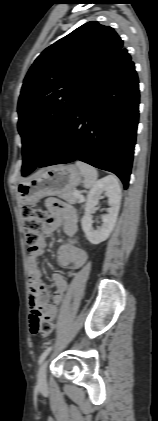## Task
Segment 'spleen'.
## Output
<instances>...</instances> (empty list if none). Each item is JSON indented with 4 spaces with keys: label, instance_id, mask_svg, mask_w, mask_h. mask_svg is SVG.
I'll use <instances>...</instances> for the list:
<instances>
[{
    "label": "spleen",
    "instance_id": "obj_1",
    "mask_svg": "<svg viewBox=\"0 0 158 421\" xmlns=\"http://www.w3.org/2000/svg\"><path fill=\"white\" fill-rule=\"evenodd\" d=\"M76 166L84 176V187L93 188L98 178L97 170L93 166L81 161H77Z\"/></svg>",
    "mask_w": 158,
    "mask_h": 421
}]
</instances>
